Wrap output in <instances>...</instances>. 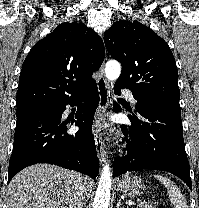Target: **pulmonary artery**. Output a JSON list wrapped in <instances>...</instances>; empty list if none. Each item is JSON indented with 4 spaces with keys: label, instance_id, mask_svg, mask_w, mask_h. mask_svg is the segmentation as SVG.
<instances>
[{
    "label": "pulmonary artery",
    "instance_id": "1",
    "mask_svg": "<svg viewBox=\"0 0 199 208\" xmlns=\"http://www.w3.org/2000/svg\"><path fill=\"white\" fill-rule=\"evenodd\" d=\"M122 93L131 103H133V104L136 103V99L129 89H123Z\"/></svg>",
    "mask_w": 199,
    "mask_h": 208
}]
</instances>
